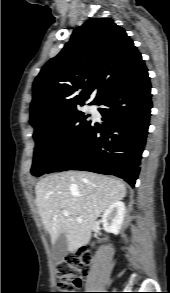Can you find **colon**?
<instances>
[{
	"mask_svg": "<svg viewBox=\"0 0 170 293\" xmlns=\"http://www.w3.org/2000/svg\"><path fill=\"white\" fill-rule=\"evenodd\" d=\"M91 256L87 252H79L70 256L65 261L56 264V276L60 282V291L57 293H76L81 286V276L87 274Z\"/></svg>",
	"mask_w": 170,
	"mask_h": 293,
	"instance_id": "1",
	"label": "colon"
}]
</instances>
